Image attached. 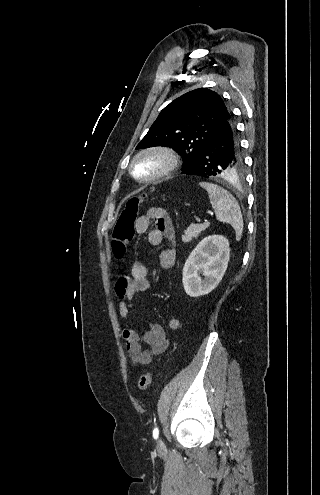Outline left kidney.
<instances>
[{"instance_id": "left-kidney-1", "label": "left kidney", "mask_w": 320, "mask_h": 495, "mask_svg": "<svg viewBox=\"0 0 320 495\" xmlns=\"http://www.w3.org/2000/svg\"><path fill=\"white\" fill-rule=\"evenodd\" d=\"M229 259V241L225 237L204 238L185 262L182 278L185 292L191 297L210 293L222 280Z\"/></svg>"}]
</instances>
